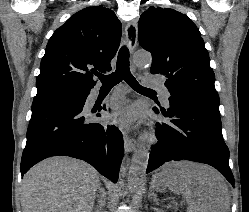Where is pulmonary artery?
Segmentation results:
<instances>
[{
  "label": "pulmonary artery",
  "mask_w": 249,
  "mask_h": 212,
  "mask_svg": "<svg viewBox=\"0 0 249 212\" xmlns=\"http://www.w3.org/2000/svg\"><path fill=\"white\" fill-rule=\"evenodd\" d=\"M152 88H155L157 90H159L160 94H161V98L164 102V104L169 107V97H170V92L169 90L167 89V87L163 84V83H160V84H156L154 86H151ZM96 96V92L93 91L91 93V98L93 99L94 97Z\"/></svg>",
  "instance_id": "obj_1"
}]
</instances>
